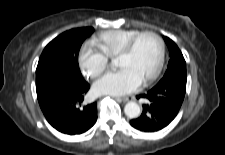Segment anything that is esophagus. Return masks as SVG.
I'll return each instance as SVG.
<instances>
[{
	"instance_id": "34e87169",
	"label": "esophagus",
	"mask_w": 225,
	"mask_h": 155,
	"mask_svg": "<svg viewBox=\"0 0 225 155\" xmlns=\"http://www.w3.org/2000/svg\"><path fill=\"white\" fill-rule=\"evenodd\" d=\"M116 99L119 101L127 102L129 100L134 99V97L133 96H125V97H117Z\"/></svg>"
}]
</instances>
